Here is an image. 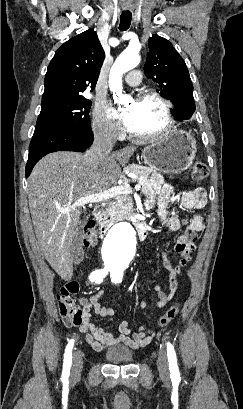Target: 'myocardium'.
Segmentation results:
<instances>
[{
    "label": "myocardium",
    "mask_w": 243,
    "mask_h": 409,
    "mask_svg": "<svg viewBox=\"0 0 243 409\" xmlns=\"http://www.w3.org/2000/svg\"><path fill=\"white\" fill-rule=\"evenodd\" d=\"M148 99H153L157 101L163 107L165 125L159 131L150 133V134L138 135V134H133L130 132L129 134L130 138L133 139L134 141L148 142V141L156 140L162 137L163 135L167 134L168 132H170L172 128L174 127L175 120H174V116L172 112L171 102L167 98H165L162 94H160L159 92L153 89L142 90L136 95V98H135L136 101H144Z\"/></svg>",
    "instance_id": "myocardium-1"
}]
</instances>
